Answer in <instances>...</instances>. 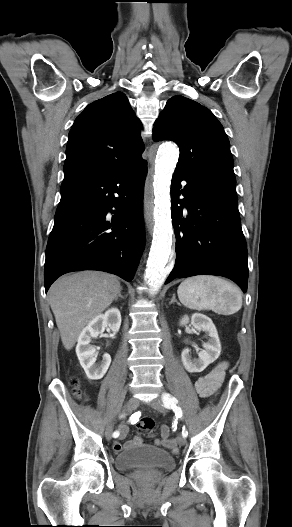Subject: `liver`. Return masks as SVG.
<instances>
[{
	"instance_id": "6515ba94",
	"label": "liver",
	"mask_w": 292,
	"mask_h": 527,
	"mask_svg": "<svg viewBox=\"0 0 292 527\" xmlns=\"http://www.w3.org/2000/svg\"><path fill=\"white\" fill-rule=\"evenodd\" d=\"M122 287L108 273L82 271L56 280L49 289V303L66 350L81 331L115 300Z\"/></svg>"
}]
</instances>
